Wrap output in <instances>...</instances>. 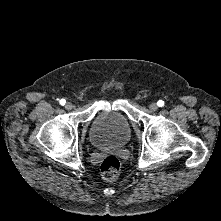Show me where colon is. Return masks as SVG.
<instances>
[{
    "label": "colon",
    "mask_w": 221,
    "mask_h": 221,
    "mask_svg": "<svg viewBox=\"0 0 221 221\" xmlns=\"http://www.w3.org/2000/svg\"><path fill=\"white\" fill-rule=\"evenodd\" d=\"M102 177L107 181H114L120 172V162L117 157L108 155L104 157L100 165Z\"/></svg>",
    "instance_id": "obj_1"
}]
</instances>
